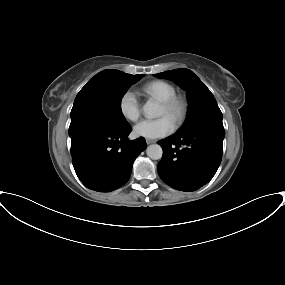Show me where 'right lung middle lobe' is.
<instances>
[{
	"mask_svg": "<svg viewBox=\"0 0 285 285\" xmlns=\"http://www.w3.org/2000/svg\"><path fill=\"white\" fill-rule=\"evenodd\" d=\"M145 75L122 71L95 75L77 94L71 110L69 135L88 126L110 130L127 128L129 123L121 111V99L128 88Z\"/></svg>",
	"mask_w": 285,
	"mask_h": 285,
	"instance_id": "right-lung-middle-lobe-1",
	"label": "right lung middle lobe"
}]
</instances>
